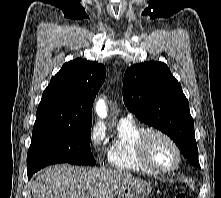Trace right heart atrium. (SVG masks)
<instances>
[{
  "mask_svg": "<svg viewBox=\"0 0 221 198\" xmlns=\"http://www.w3.org/2000/svg\"><path fill=\"white\" fill-rule=\"evenodd\" d=\"M105 132L101 126L94 125L89 133V142L91 147L98 155L104 154Z\"/></svg>",
  "mask_w": 221,
  "mask_h": 198,
  "instance_id": "obj_1",
  "label": "right heart atrium"
}]
</instances>
